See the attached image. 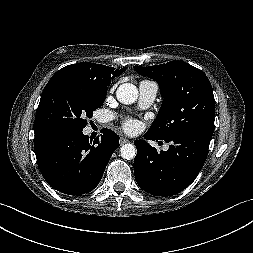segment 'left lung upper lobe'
<instances>
[{
	"instance_id": "left-lung-upper-lobe-1",
	"label": "left lung upper lobe",
	"mask_w": 253,
	"mask_h": 253,
	"mask_svg": "<svg viewBox=\"0 0 253 253\" xmlns=\"http://www.w3.org/2000/svg\"><path fill=\"white\" fill-rule=\"evenodd\" d=\"M138 74L154 79L164 101L148 133L159 139L181 133L214 131L212 86L198 68L182 61L149 67L134 66Z\"/></svg>"
}]
</instances>
